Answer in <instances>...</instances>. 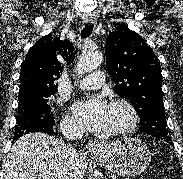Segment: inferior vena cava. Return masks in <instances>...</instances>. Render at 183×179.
<instances>
[{"instance_id": "obj_1", "label": "inferior vena cava", "mask_w": 183, "mask_h": 179, "mask_svg": "<svg viewBox=\"0 0 183 179\" xmlns=\"http://www.w3.org/2000/svg\"><path fill=\"white\" fill-rule=\"evenodd\" d=\"M64 136L68 140H77L82 138L83 131L77 128H70L64 132ZM83 175L80 155L76 153L74 148L70 147L68 158V179H83Z\"/></svg>"}]
</instances>
